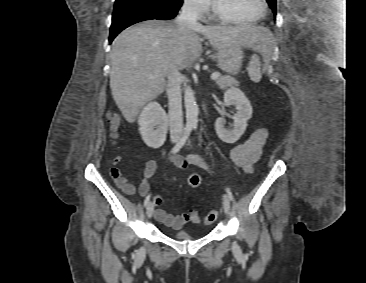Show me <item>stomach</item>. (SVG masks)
<instances>
[{
	"mask_svg": "<svg viewBox=\"0 0 366 283\" xmlns=\"http://www.w3.org/2000/svg\"><path fill=\"white\" fill-rule=\"evenodd\" d=\"M216 58L219 68L231 75L238 73L242 63L243 51L241 45L233 43L216 48Z\"/></svg>",
	"mask_w": 366,
	"mask_h": 283,
	"instance_id": "stomach-1",
	"label": "stomach"
}]
</instances>
